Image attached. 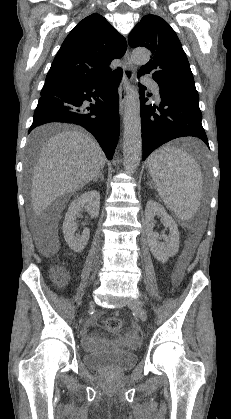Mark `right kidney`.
<instances>
[{
  "label": "right kidney",
  "mask_w": 231,
  "mask_h": 419,
  "mask_svg": "<svg viewBox=\"0 0 231 419\" xmlns=\"http://www.w3.org/2000/svg\"><path fill=\"white\" fill-rule=\"evenodd\" d=\"M85 209V211L91 216V218H96L99 215L100 210V194L96 190H91L81 194L79 197L74 199L65 215L63 222V233L64 238L69 247L75 252H82L85 248L89 237L90 230L85 228L81 235H75L76 231V215L80 211Z\"/></svg>",
  "instance_id": "1"
}]
</instances>
